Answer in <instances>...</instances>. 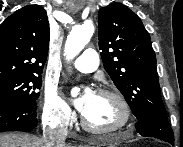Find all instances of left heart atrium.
Returning a JSON list of instances; mask_svg holds the SVG:
<instances>
[{"label":"left heart atrium","instance_id":"obj_1","mask_svg":"<svg viewBox=\"0 0 183 147\" xmlns=\"http://www.w3.org/2000/svg\"><path fill=\"white\" fill-rule=\"evenodd\" d=\"M94 95L95 93L90 88H86L82 96L75 100V105L82 114L86 111Z\"/></svg>","mask_w":183,"mask_h":147}]
</instances>
